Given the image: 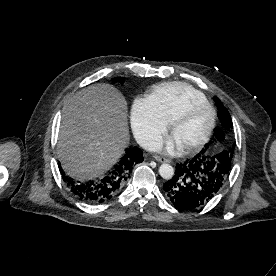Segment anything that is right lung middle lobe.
Returning <instances> with one entry per match:
<instances>
[{
	"label": "right lung middle lobe",
	"mask_w": 276,
	"mask_h": 276,
	"mask_svg": "<svg viewBox=\"0 0 276 276\" xmlns=\"http://www.w3.org/2000/svg\"><path fill=\"white\" fill-rule=\"evenodd\" d=\"M121 81H124V79H120ZM120 80H117V79H115V81H120Z\"/></svg>",
	"instance_id": "right-lung-middle-lobe-1"
}]
</instances>
